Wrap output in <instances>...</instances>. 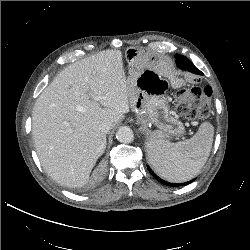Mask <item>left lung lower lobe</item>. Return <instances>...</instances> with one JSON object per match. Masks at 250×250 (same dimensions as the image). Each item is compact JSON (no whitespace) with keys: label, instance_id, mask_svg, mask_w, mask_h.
Wrapping results in <instances>:
<instances>
[{"label":"left lung lower lobe","instance_id":"left-lung-lower-lobe-1","mask_svg":"<svg viewBox=\"0 0 250 250\" xmlns=\"http://www.w3.org/2000/svg\"><path fill=\"white\" fill-rule=\"evenodd\" d=\"M176 64L179 68L183 69V70H187V71H190L192 73H195V74H199L201 75L202 72L197 69L194 64L189 60L187 59L185 56L183 55H176ZM149 172L152 174V176L158 180L159 182L163 183L164 185L166 186H171V187H176V186H183V185H187L191 182H193L195 179L191 180V181H188V182H185V183H180V184H176V183H170V182H167V181H164L162 180L160 177H158L152 170L149 166H147Z\"/></svg>","mask_w":250,"mask_h":250}]
</instances>
